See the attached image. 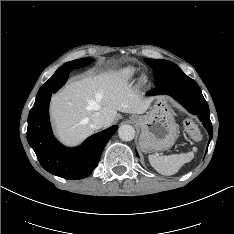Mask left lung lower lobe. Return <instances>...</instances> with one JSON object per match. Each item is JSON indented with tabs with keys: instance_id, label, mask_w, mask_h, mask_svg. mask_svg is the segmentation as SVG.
Here are the masks:
<instances>
[{
	"instance_id": "left-lung-lower-lobe-1",
	"label": "left lung lower lobe",
	"mask_w": 234,
	"mask_h": 234,
	"mask_svg": "<svg viewBox=\"0 0 234 234\" xmlns=\"http://www.w3.org/2000/svg\"><path fill=\"white\" fill-rule=\"evenodd\" d=\"M169 94L182 104L190 113L196 114L208 130L210 140L213 129L209 107L197 83L187 75L176 77L157 85L147 95ZM138 155V154H137Z\"/></svg>"
}]
</instances>
